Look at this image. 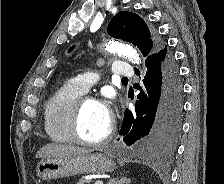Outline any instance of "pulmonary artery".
<instances>
[{
  "instance_id": "obj_1",
  "label": "pulmonary artery",
  "mask_w": 224,
  "mask_h": 184,
  "mask_svg": "<svg viewBox=\"0 0 224 184\" xmlns=\"http://www.w3.org/2000/svg\"><path fill=\"white\" fill-rule=\"evenodd\" d=\"M113 74L117 77L128 78L134 75L133 68L126 62L119 61L113 64ZM98 81V76L94 72H86L75 76L72 84L80 91L87 92Z\"/></svg>"
}]
</instances>
